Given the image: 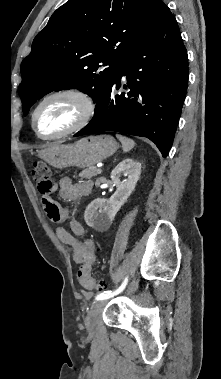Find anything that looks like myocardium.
Wrapping results in <instances>:
<instances>
[{
	"instance_id": "myocardium-1",
	"label": "myocardium",
	"mask_w": 221,
	"mask_h": 379,
	"mask_svg": "<svg viewBox=\"0 0 221 379\" xmlns=\"http://www.w3.org/2000/svg\"><path fill=\"white\" fill-rule=\"evenodd\" d=\"M60 97L71 98L79 103L80 114L77 120L70 127L56 134H52V135L40 134L36 128V118L40 109L48 101L53 100L55 98H60ZM94 113H95V104L92 97L87 92L78 88H62V89L54 90L52 92L47 93L38 101V103L33 108L30 115V126H31V130L36 135V137H38L41 140L60 139L74 132H77L83 127H85L93 118Z\"/></svg>"
}]
</instances>
